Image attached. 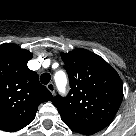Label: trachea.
Segmentation results:
<instances>
[{
    "instance_id": "obj_1",
    "label": "trachea",
    "mask_w": 136,
    "mask_h": 136,
    "mask_svg": "<svg viewBox=\"0 0 136 136\" xmlns=\"http://www.w3.org/2000/svg\"><path fill=\"white\" fill-rule=\"evenodd\" d=\"M51 79V76L49 73H43L41 76H40V81L41 83L43 84H48L49 81Z\"/></svg>"
}]
</instances>
